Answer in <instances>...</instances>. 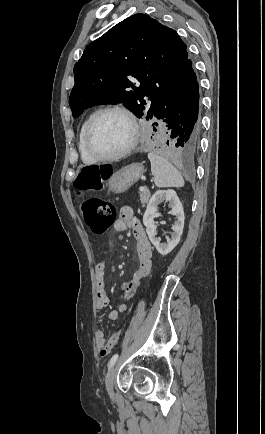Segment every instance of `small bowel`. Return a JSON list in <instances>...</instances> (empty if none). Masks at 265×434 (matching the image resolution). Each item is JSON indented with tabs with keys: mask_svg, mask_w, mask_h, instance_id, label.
Segmentation results:
<instances>
[{
	"mask_svg": "<svg viewBox=\"0 0 265 434\" xmlns=\"http://www.w3.org/2000/svg\"><path fill=\"white\" fill-rule=\"evenodd\" d=\"M114 228L117 231L129 230L132 232L136 240V251L139 265L132 278L121 286L123 302L119 303L117 308L110 311L109 319L112 321L117 320L121 313L127 311L126 302L135 296L141 280L150 274L153 257V248L147 233L139 219L133 214L131 208L123 207L121 209L120 214L114 223ZM105 274L106 259H103L95 267L96 307L98 310L109 307L111 303L106 291ZM102 340H107L105 333L102 330H97L95 332V341L96 346L99 349H101L100 344Z\"/></svg>",
	"mask_w": 265,
	"mask_h": 434,
	"instance_id": "small-bowel-1",
	"label": "small bowel"
}]
</instances>
